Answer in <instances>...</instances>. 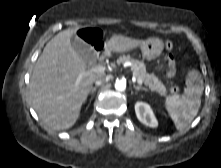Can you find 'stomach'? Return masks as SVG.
<instances>
[{
	"label": "stomach",
	"instance_id": "0dacf381",
	"mask_svg": "<svg viewBox=\"0 0 221 168\" xmlns=\"http://www.w3.org/2000/svg\"><path fill=\"white\" fill-rule=\"evenodd\" d=\"M140 48L143 58L150 61L158 58L161 55L164 49V43L161 39L152 37L145 40L140 45Z\"/></svg>",
	"mask_w": 221,
	"mask_h": 168
}]
</instances>
